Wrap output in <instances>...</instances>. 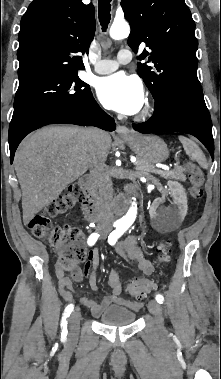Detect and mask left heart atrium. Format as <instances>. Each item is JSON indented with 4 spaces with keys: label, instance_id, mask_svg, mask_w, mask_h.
I'll return each instance as SVG.
<instances>
[{
    "label": "left heart atrium",
    "instance_id": "1",
    "mask_svg": "<svg viewBox=\"0 0 221 379\" xmlns=\"http://www.w3.org/2000/svg\"><path fill=\"white\" fill-rule=\"evenodd\" d=\"M97 96L106 108L126 115L136 114L144 104L142 83L125 73L101 79L97 85Z\"/></svg>",
    "mask_w": 221,
    "mask_h": 379
}]
</instances>
